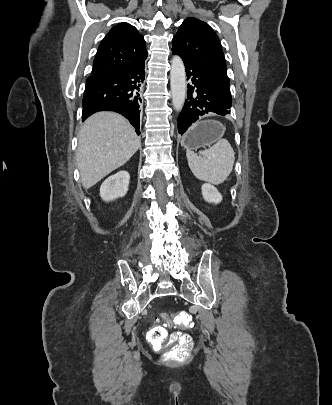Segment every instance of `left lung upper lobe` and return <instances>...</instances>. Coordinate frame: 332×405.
Masks as SVG:
<instances>
[{"label": "left lung upper lobe", "instance_id": "obj_1", "mask_svg": "<svg viewBox=\"0 0 332 405\" xmlns=\"http://www.w3.org/2000/svg\"><path fill=\"white\" fill-rule=\"evenodd\" d=\"M172 49L182 59L204 70L219 87L227 106H231L230 81L218 36L205 22L190 17L184 20L173 38Z\"/></svg>", "mask_w": 332, "mask_h": 405}]
</instances>
